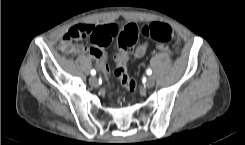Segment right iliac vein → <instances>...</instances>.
I'll list each match as a JSON object with an SVG mask.
<instances>
[{
  "instance_id": "obj_1",
  "label": "right iliac vein",
  "mask_w": 245,
  "mask_h": 145,
  "mask_svg": "<svg viewBox=\"0 0 245 145\" xmlns=\"http://www.w3.org/2000/svg\"><path fill=\"white\" fill-rule=\"evenodd\" d=\"M89 82L93 86H97L98 85V80H97V78L95 76H91L90 79H89Z\"/></svg>"
}]
</instances>
